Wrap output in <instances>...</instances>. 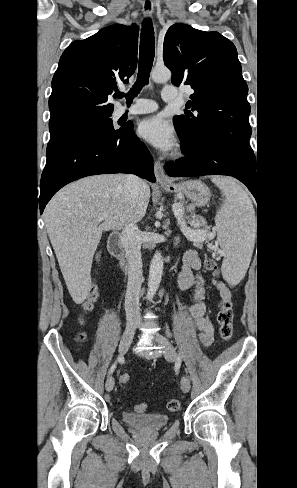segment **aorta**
I'll use <instances>...</instances> for the list:
<instances>
[{
    "mask_svg": "<svg viewBox=\"0 0 297 488\" xmlns=\"http://www.w3.org/2000/svg\"><path fill=\"white\" fill-rule=\"evenodd\" d=\"M151 78L156 83L166 82L171 78V72L166 67H155L151 71ZM163 273V257L160 252H156L151 260L148 280L147 297L154 296L159 288Z\"/></svg>",
    "mask_w": 297,
    "mask_h": 488,
    "instance_id": "1",
    "label": "aorta"
}]
</instances>
